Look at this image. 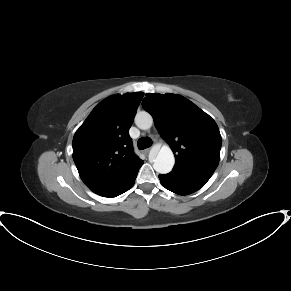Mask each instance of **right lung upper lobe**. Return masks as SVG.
<instances>
[{
	"instance_id": "obj_1",
	"label": "right lung upper lobe",
	"mask_w": 291,
	"mask_h": 291,
	"mask_svg": "<svg viewBox=\"0 0 291 291\" xmlns=\"http://www.w3.org/2000/svg\"><path fill=\"white\" fill-rule=\"evenodd\" d=\"M144 93L109 96L90 113L73 138V160L83 182L107 196L125 187L143 164L129 129Z\"/></svg>"
}]
</instances>
